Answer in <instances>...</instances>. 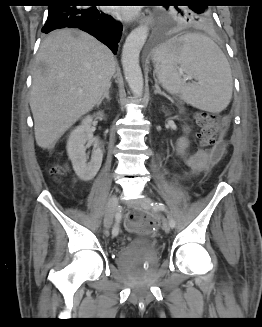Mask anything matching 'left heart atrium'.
I'll return each instance as SVG.
<instances>
[{"label": "left heart atrium", "mask_w": 262, "mask_h": 327, "mask_svg": "<svg viewBox=\"0 0 262 327\" xmlns=\"http://www.w3.org/2000/svg\"><path fill=\"white\" fill-rule=\"evenodd\" d=\"M119 14H121L124 17H131L134 15V11L132 9H121L119 11Z\"/></svg>", "instance_id": "39dd6f15"}]
</instances>
